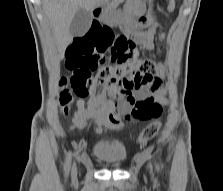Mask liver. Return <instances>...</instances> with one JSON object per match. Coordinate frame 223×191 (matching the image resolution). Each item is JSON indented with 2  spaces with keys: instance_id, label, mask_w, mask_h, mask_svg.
<instances>
[{
  "instance_id": "6515ba94",
  "label": "liver",
  "mask_w": 223,
  "mask_h": 191,
  "mask_svg": "<svg viewBox=\"0 0 223 191\" xmlns=\"http://www.w3.org/2000/svg\"><path fill=\"white\" fill-rule=\"evenodd\" d=\"M108 0H43V9L49 20L57 42L60 58L71 44L73 36L70 34V25L79 9L92 11Z\"/></svg>"
}]
</instances>
